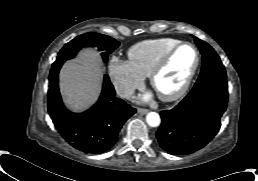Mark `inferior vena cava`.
I'll use <instances>...</instances> for the list:
<instances>
[{"mask_svg":"<svg viewBox=\"0 0 258 181\" xmlns=\"http://www.w3.org/2000/svg\"><path fill=\"white\" fill-rule=\"evenodd\" d=\"M116 89V93L125 99H129L132 97L133 93H134V88L129 86V85H125V84H117L115 86Z\"/></svg>","mask_w":258,"mask_h":181,"instance_id":"602c4592","label":"inferior vena cava"}]
</instances>
